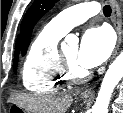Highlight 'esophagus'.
<instances>
[{
    "label": "esophagus",
    "mask_w": 123,
    "mask_h": 113,
    "mask_svg": "<svg viewBox=\"0 0 123 113\" xmlns=\"http://www.w3.org/2000/svg\"><path fill=\"white\" fill-rule=\"evenodd\" d=\"M110 4L112 6V22L114 25V28L117 32V46L114 52V55L117 54V51L119 49V46L121 44L122 40V18H121V9L120 5L116 0H110ZM83 96H92L93 95V89L89 88L82 91Z\"/></svg>",
    "instance_id": "esophagus-1"
}]
</instances>
